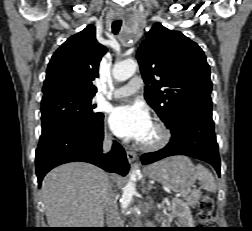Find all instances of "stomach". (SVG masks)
I'll return each mask as SVG.
<instances>
[{
    "label": "stomach",
    "mask_w": 252,
    "mask_h": 231,
    "mask_svg": "<svg viewBox=\"0 0 252 231\" xmlns=\"http://www.w3.org/2000/svg\"><path fill=\"white\" fill-rule=\"evenodd\" d=\"M146 175L176 192L186 191L195 183L196 168L186 156H172L145 169Z\"/></svg>",
    "instance_id": "1"
}]
</instances>
